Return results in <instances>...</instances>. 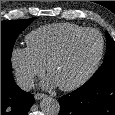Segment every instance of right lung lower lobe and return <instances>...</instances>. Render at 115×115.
<instances>
[{
  "label": "right lung lower lobe",
  "mask_w": 115,
  "mask_h": 115,
  "mask_svg": "<svg viewBox=\"0 0 115 115\" xmlns=\"http://www.w3.org/2000/svg\"><path fill=\"white\" fill-rule=\"evenodd\" d=\"M33 104V95L21 90L12 74H1V115H27Z\"/></svg>",
  "instance_id": "98d812e1"
}]
</instances>
